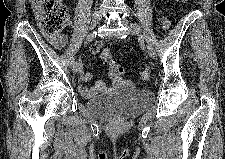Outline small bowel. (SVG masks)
I'll return each instance as SVG.
<instances>
[{"label": "small bowel", "instance_id": "obj_1", "mask_svg": "<svg viewBox=\"0 0 225 159\" xmlns=\"http://www.w3.org/2000/svg\"><path fill=\"white\" fill-rule=\"evenodd\" d=\"M37 6H35V12L38 14V9ZM48 41L56 48V49H61L65 43V36H60V37H54L50 35H46ZM62 39L64 40V43L62 44ZM103 47L102 42H96L92 48L91 51L93 53H97L101 48ZM112 77V76H111ZM91 79V74L89 72H83L81 71L78 77V81L80 82L78 86V91L83 97H91L93 94H95L102 86L103 82L102 81H97L93 86H87L84 83L90 81ZM113 80L118 81V79H115L112 77Z\"/></svg>", "mask_w": 225, "mask_h": 159}]
</instances>
